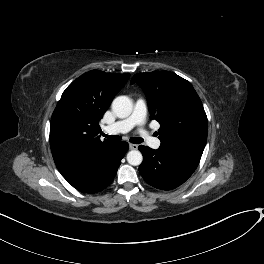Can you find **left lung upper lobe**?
Wrapping results in <instances>:
<instances>
[{"mask_svg": "<svg viewBox=\"0 0 264 264\" xmlns=\"http://www.w3.org/2000/svg\"><path fill=\"white\" fill-rule=\"evenodd\" d=\"M145 92L150 118L161 127L160 149L201 158L207 140V116L191 83L169 71L135 74Z\"/></svg>", "mask_w": 264, "mask_h": 264, "instance_id": "1", "label": "left lung upper lobe"}]
</instances>
